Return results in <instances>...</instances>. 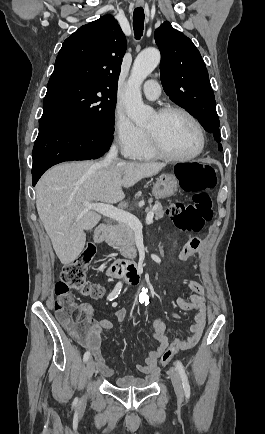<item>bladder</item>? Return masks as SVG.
<instances>
[{
	"label": "bladder",
	"mask_w": 265,
	"mask_h": 434,
	"mask_svg": "<svg viewBox=\"0 0 265 434\" xmlns=\"http://www.w3.org/2000/svg\"><path fill=\"white\" fill-rule=\"evenodd\" d=\"M102 373L107 377H112L115 375L116 372H115V369H113L109 366H106V367L102 368Z\"/></svg>",
	"instance_id": "31cf9c89"
}]
</instances>
